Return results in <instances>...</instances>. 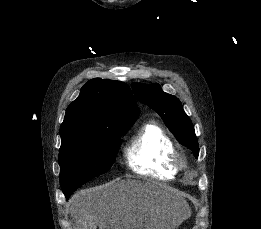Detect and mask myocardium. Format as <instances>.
<instances>
[{"label":"myocardium","mask_w":261,"mask_h":229,"mask_svg":"<svg viewBox=\"0 0 261 229\" xmlns=\"http://www.w3.org/2000/svg\"><path fill=\"white\" fill-rule=\"evenodd\" d=\"M172 164L176 170L183 169L186 164V159L183 156V154H181L180 152L175 150L173 158H172Z\"/></svg>","instance_id":"1"}]
</instances>
